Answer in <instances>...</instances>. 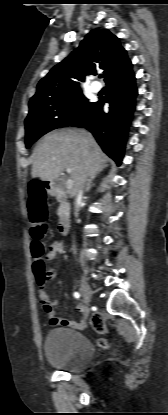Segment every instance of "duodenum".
<instances>
[{"mask_svg": "<svg viewBox=\"0 0 168 415\" xmlns=\"http://www.w3.org/2000/svg\"><path fill=\"white\" fill-rule=\"evenodd\" d=\"M42 185L59 203L62 212L58 220V231L62 235H67L70 228V218L66 213V194L51 182L43 181Z\"/></svg>", "mask_w": 168, "mask_h": 415, "instance_id": "duodenum-1", "label": "duodenum"}]
</instances>
